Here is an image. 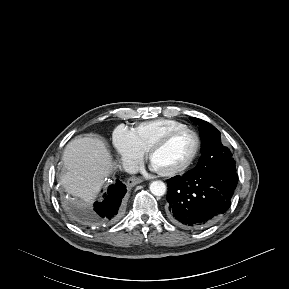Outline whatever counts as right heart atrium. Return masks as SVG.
I'll use <instances>...</instances> for the list:
<instances>
[{
    "label": "right heart atrium",
    "instance_id": "1",
    "mask_svg": "<svg viewBox=\"0 0 289 289\" xmlns=\"http://www.w3.org/2000/svg\"><path fill=\"white\" fill-rule=\"evenodd\" d=\"M113 142L116 151L126 166L132 167L141 161L144 153L136 145L130 131L123 129L117 131Z\"/></svg>",
    "mask_w": 289,
    "mask_h": 289
}]
</instances>
